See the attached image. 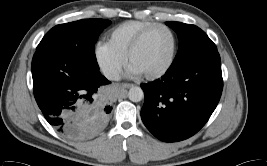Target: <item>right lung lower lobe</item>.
Returning <instances> with one entry per match:
<instances>
[{
	"label": "right lung lower lobe",
	"instance_id": "1",
	"mask_svg": "<svg viewBox=\"0 0 267 166\" xmlns=\"http://www.w3.org/2000/svg\"><path fill=\"white\" fill-rule=\"evenodd\" d=\"M32 76L37 104L60 132L74 138L88 137L104 127L112 107L93 109L92 104L98 88L110 81L98 69L57 50L42 49L33 56Z\"/></svg>",
	"mask_w": 267,
	"mask_h": 166
}]
</instances>
